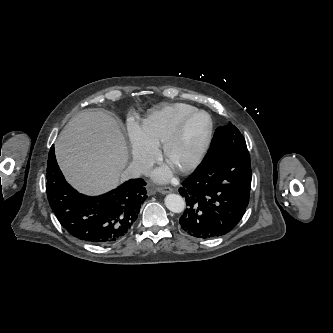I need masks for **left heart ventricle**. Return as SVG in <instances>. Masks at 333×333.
<instances>
[{"mask_svg":"<svg viewBox=\"0 0 333 333\" xmlns=\"http://www.w3.org/2000/svg\"><path fill=\"white\" fill-rule=\"evenodd\" d=\"M207 125L208 120L204 115H197L189 121L185 128L182 141L172 153V166L183 165L191 159L205 134Z\"/></svg>","mask_w":333,"mask_h":333,"instance_id":"obj_1","label":"left heart ventricle"}]
</instances>
